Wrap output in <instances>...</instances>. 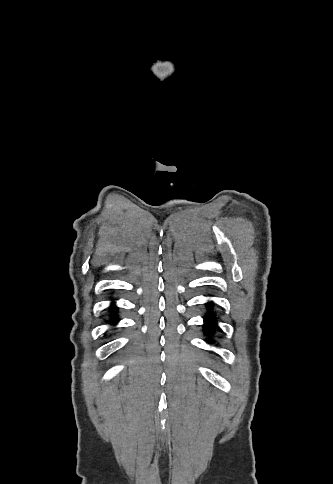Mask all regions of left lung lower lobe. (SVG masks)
Wrapping results in <instances>:
<instances>
[{
  "label": "left lung lower lobe",
  "instance_id": "0a47b994",
  "mask_svg": "<svg viewBox=\"0 0 333 484\" xmlns=\"http://www.w3.org/2000/svg\"><path fill=\"white\" fill-rule=\"evenodd\" d=\"M213 305L214 303H207L206 307L208 310L207 316H205V325L203 326V330L206 334H213L215 328V322L217 321L215 317V313H213Z\"/></svg>",
  "mask_w": 333,
  "mask_h": 484
}]
</instances>
